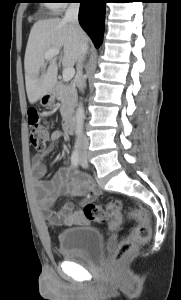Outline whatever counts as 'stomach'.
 I'll return each instance as SVG.
<instances>
[{
    "label": "stomach",
    "instance_id": "stomach-1",
    "mask_svg": "<svg viewBox=\"0 0 181 300\" xmlns=\"http://www.w3.org/2000/svg\"><path fill=\"white\" fill-rule=\"evenodd\" d=\"M55 98H56V90L53 89L52 91L44 94L40 98V103L43 106H50L54 102Z\"/></svg>",
    "mask_w": 181,
    "mask_h": 300
}]
</instances>
